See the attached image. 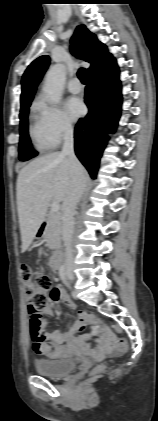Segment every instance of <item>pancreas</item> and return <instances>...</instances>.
<instances>
[{
    "mask_svg": "<svg viewBox=\"0 0 158 421\" xmlns=\"http://www.w3.org/2000/svg\"><path fill=\"white\" fill-rule=\"evenodd\" d=\"M47 246L57 249L61 244V214L50 211L47 215V226L44 231Z\"/></svg>",
    "mask_w": 158,
    "mask_h": 421,
    "instance_id": "pancreas-1",
    "label": "pancreas"
}]
</instances>
